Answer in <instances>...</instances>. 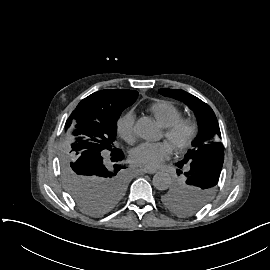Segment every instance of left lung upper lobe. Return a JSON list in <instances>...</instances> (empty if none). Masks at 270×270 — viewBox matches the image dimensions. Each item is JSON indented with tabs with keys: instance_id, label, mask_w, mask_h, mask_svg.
<instances>
[{
	"instance_id": "left-lung-upper-lobe-1",
	"label": "left lung upper lobe",
	"mask_w": 270,
	"mask_h": 270,
	"mask_svg": "<svg viewBox=\"0 0 270 270\" xmlns=\"http://www.w3.org/2000/svg\"><path fill=\"white\" fill-rule=\"evenodd\" d=\"M159 93L188 105L195 113L198 134L192 148L178 162L182 176L161 192V203L180 216H193L211 200L221 173L224 152L215 113L199 98L180 89H159ZM180 169H183L182 172Z\"/></svg>"
}]
</instances>
